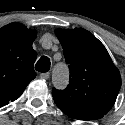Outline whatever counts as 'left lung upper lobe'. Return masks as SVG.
Returning a JSON list of instances; mask_svg holds the SVG:
<instances>
[{
    "instance_id": "1",
    "label": "left lung upper lobe",
    "mask_w": 125,
    "mask_h": 125,
    "mask_svg": "<svg viewBox=\"0 0 125 125\" xmlns=\"http://www.w3.org/2000/svg\"><path fill=\"white\" fill-rule=\"evenodd\" d=\"M70 83L63 91L55 88L56 105L79 120L102 118L113 107L121 87V76L104 45L83 28L57 29Z\"/></svg>"
}]
</instances>
